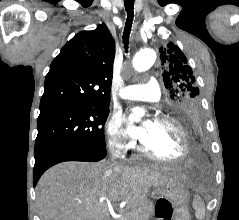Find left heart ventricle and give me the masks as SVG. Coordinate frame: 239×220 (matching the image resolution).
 Instances as JSON below:
<instances>
[{"label": "left heart ventricle", "mask_w": 239, "mask_h": 220, "mask_svg": "<svg viewBox=\"0 0 239 220\" xmlns=\"http://www.w3.org/2000/svg\"><path fill=\"white\" fill-rule=\"evenodd\" d=\"M143 126L147 135L142 143L150 152L164 158H176L181 154L182 137L174 125L146 120Z\"/></svg>", "instance_id": "1"}]
</instances>
